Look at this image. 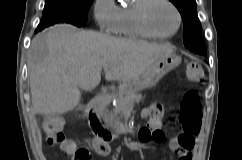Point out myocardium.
Here are the masks:
<instances>
[{"instance_id":"obj_1","label":"myocardium","mask_w":242,"mask_h":160,"mask_svg":"<svg viewBox=\"0 0 242 160\" xmlns=\"http://www.w3.org/2000/svg\"><path fill=\"white\" fill-rule=\"evenodd\" d=\"M159 0H140V2L134 7V21L138 29L150 38L155 39H169L174 37L180 30L182 25V15L179 8L171 0H160L168 4L175 12L177 16V26L175 30L170 34H158L154 32L147 22V11L150 5Z\"/></svg>"}]
</instances>
